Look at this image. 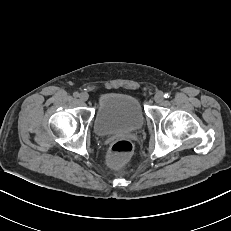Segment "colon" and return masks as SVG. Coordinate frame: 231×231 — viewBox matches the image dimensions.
<instances>
[{
	"label": "colon",
	"mask_w": 231,
	"mask_h": 231,
	"mask_svg": "<svg viewBox=\"0 0 231 231\" xmlns=\"http://www.w3.org/2000/svg\"><path fill=\"white\" fill-rule=\"evenodd\" d=\"M134 146L128 139H119L115 141L109 150V163L115 167L123 165L131 156Z\"/></svg>",
	"instance_id": "1"
}]
</instances>
